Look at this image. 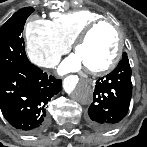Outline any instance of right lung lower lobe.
Returning <instances> with one entry per match:
<instances>
[{"label": "right lung lower lobe", "instance_id": "1", "mask_svg": "<svg viewBox=\"0 0 147 147\" xmlns=\"http://www.w3.org/2000/svg\"><path fill=\"white\" fill-rule=\"evenodd\" d=\"M61 90V80L29 63L0 76V109L16 129L39 133L47 126L46 108Z\"/></svg>", "mask_w": 147, "mask_h": 147}]
</instances>
